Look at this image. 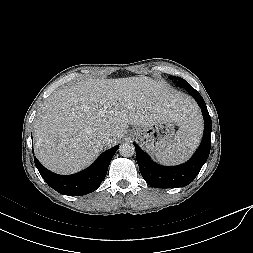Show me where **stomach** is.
I'll list each match as a JSON object with an SVG mask.
<instances>
[{"label": "stomach", "mask_w": 253, "mask_h": 253, "mask_svg": "<svg viewBox=\"0 0 253 253\" xmlns=\"http://www.w3.org/2000/svg\"><path fill=\"white\" fill-rule=\"evenodd\" d=\"M174 132V122L163 119L149 125L137 126L131 131V135L140 140L147 150L157 153L172 142Z\"/></svg>", "instance_id": "obj_1"}]
</instances>
